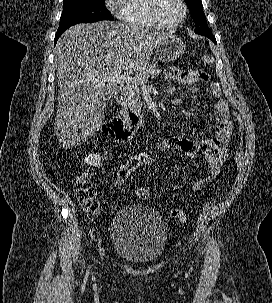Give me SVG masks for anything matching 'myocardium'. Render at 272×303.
I'll use <instances>...</instances> for the list:
<instances>
[{
    "mask_svg": "<svg viewBox=\"0 0 272 303\" xmlns=\"http://www.w3.org/2000/svg\"><path fill=\"white\" fill-rule=\"evenodd\" d=\"M161 0H150L149 3V14L151 19L153 20V22L160 28L162 29H175L177 27H179L186 19L187 17V5L185 0H178V2L180 3L181 7H182V15L180 17V19L178 21H176L175 23L172 24H167L165 22L162 21V19L159 16V4H160Z\"/></svg>",
    "mask_w": 272,
    "mask_h": 303,
    "instance_id": "myocardium-1",
    "label": "myocardium"
}]
</instances>
